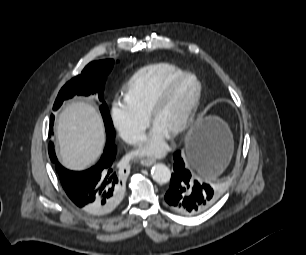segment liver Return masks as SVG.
<instances>
[{
    "label": "liver",
    "mask_w": 306,
    "mask_h": 255,
    "mask_svg": "<svg viewBox=\"0 0 306 255\" xmlns=\"http://www.w3.org/2000/svg\"><path fill=\"white\" fill-rule=\"evenodd\" d=\"M59 157L70 170H84L98 161L105 133L100 114L90 104L77 101L65 107L58 118Z\"/></svg>",
    "instance_id": "1"
}]
</instances>
